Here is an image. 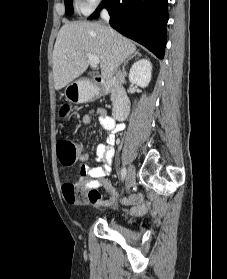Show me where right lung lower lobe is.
I'll use <instances>...</instances> for the list:
<instances>
[{
	"label": "right lung lower lobe",
	"mask_w": 227,
	"mask_h": 279,
	"mask_svg": "<svg viewBox=\"0 0 227 279\" xmlns=\"http://www.w3.org/2000/svg\"><path fill=\"white\" fill-rule=\"evenodd\" d=\"M168 0H103L88 18L99 16L105 7L110 25L124 36L135 40L163 59L166 45Z\"/></svg>",
	"instance_id": "1"
}]
</instances>
